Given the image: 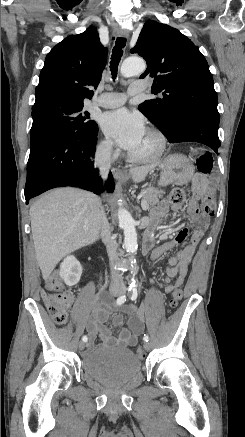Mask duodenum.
Returning <instances> with one entry per match:
<instances>
[{
  "mask_svg": "<svg viewBox=\"0 0 245 437\" xmlns=\"http://www.w3.org/2000/svg\"><path fill=\"white\" fill-rule=\"evenodd\" d=\"M153 242V232L151 229H148L144 234V250L148 252L151 244Z\"/></svg>",
  "mask_w": 245,
  "mask_h": 437,
  "instance_id": "obj_1",
  "label": "duodenum"
}]
</instances>
